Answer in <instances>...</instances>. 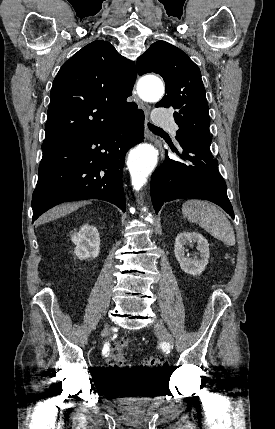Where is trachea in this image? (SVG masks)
<instances>
[{
	"mask_svg": "<svg viewBox=\"0 0 275 429\" xmlns=\"http://www.w3.org/2000/svg\"><path fill=\"white\" fill-rule=\"evenodd\" d=\"M148 127H149V129L151 130V131H153V132H158V131H162V129L161 128H159V127H157V126H154V125H152V124H148Z\"/></svg>",
	"mask_w": 275,
	"mask_h": 429,
	"instance_id": "trachea-1",
	"label": "trachea"
}]
</instances>
